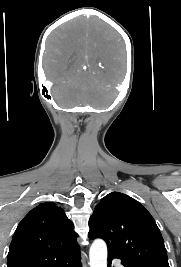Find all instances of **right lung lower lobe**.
Masks as SVG:
<instances>
[{
    "instance_id": "1",
    "label": "right lung lower lobe",
    "mask_w": 181,
    "mask_h": 267,
    "mask_svg": "<svg viewBox=\"0 0 181 267\" xmlns=\"http://www.w3.org/2000/svg\"><path fill=\"white\" fill-rule=\"evenodd\" d=\"M80 250L70 254L68 256L62 257L55 262L45 265L43 267H82L80 262ZM24 267V266H21ZM25 267H42L40 265L25 266Z\"/></svg>"
}]
</instances>
